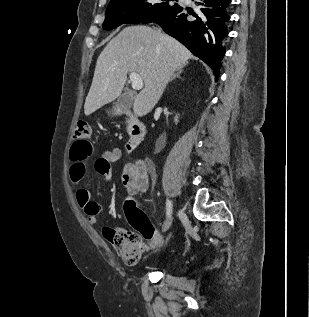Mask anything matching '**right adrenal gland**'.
Returning <instances> with one entry per match:
<instances>
[{
	"instance_id": "2a0ac1e0",
	"label": "right adrenal gland",
	"mask_w": 309,
	"mask_h": 317,
	"mask_svg": "<svg viewBox=\"0 0 309 317\" xmlns=\"http://www.w3.org/2000/svg\"><path fill=\"white\" fill-rule=\"evenodd\" d=\"M181 73H182V69L177 70V71L172 75V77L170 78L169 82L172 81L173 79L180 78V74H181Z\"/></svg>"
}]
</instances>
